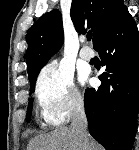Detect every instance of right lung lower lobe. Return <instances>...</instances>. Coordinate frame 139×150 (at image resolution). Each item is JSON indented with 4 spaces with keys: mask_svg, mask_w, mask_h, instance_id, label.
Instances as JSON below:
<instances>
[{
    "mask_svg": "<svg viewBox=\"0 0 139 150\" xmlns=\"http://www.w3.org/2000/svg\"><path fill=\"white\" fill-rule=\"evenodd\" d=\"M95 50L106 70L101 86L84 95L90 134L106 150H131L139 111V31L128 10Z\"/></svg>",
    "mask_w": 139,
    "mask_h": 150,
    "instance_id": "obj_1",
    "label": "right lung lower lobe"
}]
</instances>
